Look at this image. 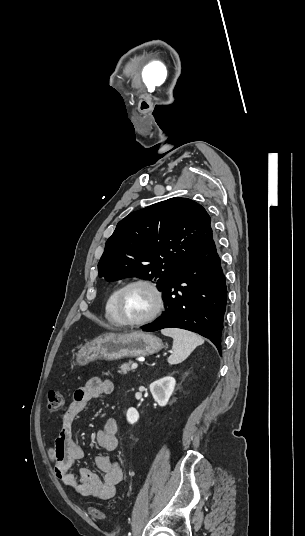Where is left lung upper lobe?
<instances>
[{"instance_id":"1","label":"left lung upper lobe","mask_w":305,"mask_h":536,"mask_svg":"<svg viewBox=\"0 0 305 536\" xmlns=\"http://www.w3.org/2000/svg\"><path fill=\"white\" fill-rule=\"evenodd\" d=\"M210 216L188 198H171L121 220L98 263L99 277L154 280L164 289L212 237Z\"/></svg>"}]
</instances>
